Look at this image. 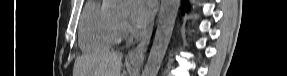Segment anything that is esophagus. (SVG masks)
Returning a JSON list of instances; mask_svg holds the SVG:
<instances>
[{
  "mask_svg": "<svg viewBox=\"0 0 287 76\" xmlns=\"http://www.w3.org/2000/svg\"><path fill=\"white\" fill-rule=\"evenodd\" d=\"M153 27L149 32L143 37L141 42L128 53V59L133 62H143L145 58V53L147 51L148 45L150 43Z\"/></svg>",
  "mask_w": 287,
  "mask_h": 76,
  "instance_id": "34e87169",
  "label": "esophagus"
}]
</instances>
